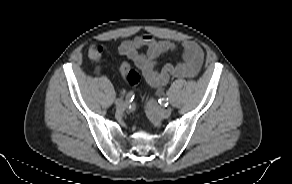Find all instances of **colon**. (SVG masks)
<instances>
[{
  "instance_id": "obj_1",
  "label": "colon",
  "mask_w": 292,
  "mask_h": 184,
  "mask_svg": "<svg viewBox=\"0 0 292 184\" xmlns=\"http://www.w3.org/2000/svg\"><path fill=\"white\" fill-rule=\"evenodd\" d=\"M103 47L100 44H92L88 50V56L91 60L97 61L102 58ZM123 77L131 86H137L139 83V75L136 71L131 69L129 66L121 68Z\"/></svg>"
}]
</instances>
